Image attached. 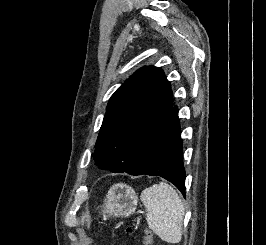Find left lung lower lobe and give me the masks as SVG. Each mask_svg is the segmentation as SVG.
<instances>
[{
	"instance_id": "0a47b994",
	"label": "left lung lower lobe",
	"mask_w": 266,
	"mask_h": 245,
	"mask_svg": "<svg viewBox=\"0 0 266 245\" xmlns=\"http://www.w3.org/2000/svg\"><path fill=\"white\" fill-rule=\"evenodd\" d=\"M178 108L173 105L140 140L133 162L125 171L131 175L161 176L185 196V169Z\"/></svg>"
}]
</instances>
